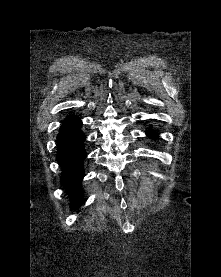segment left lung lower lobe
I'll list each match as a JSON object with an SVG mask.
<instances>
[{
  "mask_svg": "<svg viewBox=\"0 0 221 277\" xmlns=\"http://www.w3.org/2000/svg\"><path fill=\"white\" fill-rule=\"evenodd\" d=\"M147 135H148L149 137H151V138H156V137H157V133H156L155 131H153V130L148 131V132H147Z\"/></svg>",
  "mask_w": 221,
  "mask_h": 277,
  "instance_id": "1",
  "label": "left lung lower lobe"
}]
</instances>
